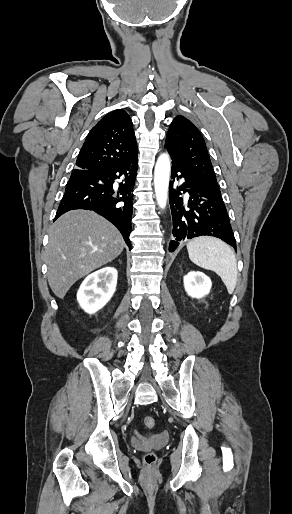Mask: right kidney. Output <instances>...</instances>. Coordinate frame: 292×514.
Masks as SVG:
<instances>
[{
  "label": "right kidney",
  "mask_w": 292,
  "mask_h": 514,
  "mask_svg": "<svg viewBox=\"0 0 292 514\" xmlns=\"http://www.w3.org/2000/svg\"><path fill=\"white\" fill-rule=\"evenodd\" d=\"M117 276V270L110 266L87 276L77 292L81 308L88 314H95L101 310L116 290Z\"/></svg>",
  "instance_id": "right-kidney-1"
}]
</instances>
